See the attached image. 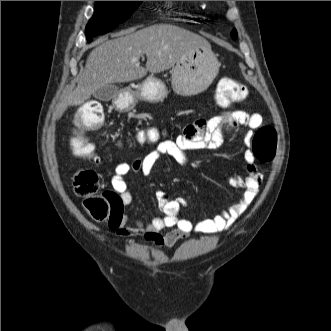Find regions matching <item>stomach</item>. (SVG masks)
Masks as SVG:
<instances>
[{"mask_svg": "<svg viewBox=\"0 0 331 331\" xmlns=\"http://www.w3.org/2000/svg\"><path fill=\"white\" fill-rule=\"evenodd\" d=\"M219 66L210 44L193 48L184 54L173 68L171 82L174 92L183 96L203 92L217 76ZM167 95L168 90L161 80L148 77L137 91L122 92L115 101V107L119 111H130L139 99L159 102Z\"/></svg>", "mask_w": 331, "mask_h": 331, "instance_id": "obj_1", "label": "stomach"}]
</instances>
